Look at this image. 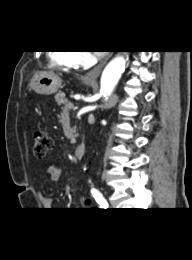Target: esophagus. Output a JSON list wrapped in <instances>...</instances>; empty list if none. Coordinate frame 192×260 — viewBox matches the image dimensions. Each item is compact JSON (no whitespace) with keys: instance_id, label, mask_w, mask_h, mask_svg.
Listing matches in <instances>:
<instances>
[{"instance_id":"esophagus-1","label":"esophagus","mask_w":192,"mask_h":260,"mask_svg":"<svg viewBox=\"0 0 192 260\" xmlns=\"http://www.w3.org/2000/svg\"><path fill=\"white\" fill-rule=\"evenodd\" d=\"M110 57L111 54L107 55L97 66H95L92 70H90L84 75V79L86 80L97 79Z\"/></svg>"}]
</instances>
